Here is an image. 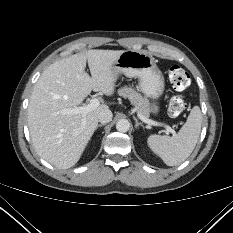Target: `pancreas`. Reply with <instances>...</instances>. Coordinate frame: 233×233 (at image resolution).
Segmentation results:
<instances>
[{"mask_svg": "<svg viewBox=\"0 0 233 233\" xmlns=\"http://www.w3.org/2000/svg\"><path fill=\"white\" fill-rule=\"evenodd\" d=\"M118 94L124 98H128L130 102L135 106L138 113L145 117H149L150 103L146 97H143L140 93L133 88L124 86L118 90Z\"/></svg>", "mask_w": 233, "mask_h": 233, "instance_id": "1", "label": "pancreas"}]
</instances>
